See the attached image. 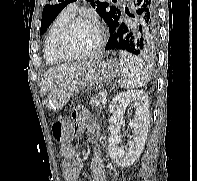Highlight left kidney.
<instances>
[{"label": "left kidney", "instance_id": "5707ae66", "mask_svg": "<svg viewBox=\"0 0 197 181\" xmlns=\"http://www.w3.org/2000/svg\"><path fill=\"white\" fill-rule=\"evenodd\" d=\"M131 102L135 103V116L129 121L132 130L131 140L125 149L118 147L121 141L120 125L124 123L125 108ZM113 114L112 124L109 127L108 151L114 163L122 168L131 166L141 155L147 140L149 125V99L141 90H131L117 94L110 106Z\"/></svg>", "mask_w": 197, "mask_h": 181}]
</instances>
